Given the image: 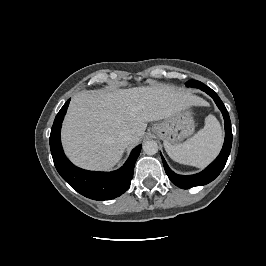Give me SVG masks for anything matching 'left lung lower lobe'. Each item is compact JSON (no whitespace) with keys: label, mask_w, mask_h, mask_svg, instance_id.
<instances>
[{"label":"left lung lower lobe","mask_w":266,"mask_h":266,"mask_svg":"<svg viewBox=\"0 0 266 266\" xmlns=\"http://www.w3.org/2000/svg\"><path fill=\"white\" fill-rule=\"evenodd\" d=\"M187 86L199 88L202 91H205L208 95H210L213 98V100L215 101L218 108L221 110L223 117H224L225 141H224V145H223V148L219 156L206 169L194 175L183 176V175L175 174L168 167L163 156H161L167 176L176 186L182 189H189L195 186H202V185L208 184L211 181H213L224 168L227 162L228 156L230 154V151H231V146H232L231 121L229 118L228 111L225 105L223 104V102L221 101V99L219 98V96L211 88H209L208 86H206L200 81L193 80L187 83Z\"/></svg>","instance_id":"0a47b994"}]
</instances>
